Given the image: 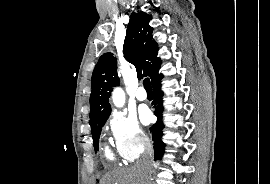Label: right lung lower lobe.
I'll return each mask as SVG.
<instances>
[{
  "label": "right lung lower lobe",
  "instance_id": "1",
  "mask_svg": "<svg viewBox=\"0 0 270 184\" xmlns=\"http://www.w3.org/2000/svg\"><path fill=\"white\" fill-rule=\"evenodd\" d=\"M162 77V74H158L151 82L155 96V100L153 102V106L155 108L154 114L157 116V122L152 126V128H150L153 136L152 140L154 145L155 160H160L164 152V143L161 141L162 129L164 128L162 122V112L164 109L162 105L163 92L160 89V80Z\"/></svg>",
  "mask_w": 270,
  "mask_h": 184
}]
</instances>
